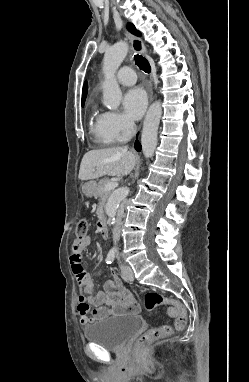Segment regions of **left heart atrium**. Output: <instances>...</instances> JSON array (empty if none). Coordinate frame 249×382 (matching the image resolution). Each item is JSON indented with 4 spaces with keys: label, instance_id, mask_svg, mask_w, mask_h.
I'll use <instances>...</instances> for the list:
<instances>
[{
    "label": "left heart atrium",
    "instance_id": "obj_1",
    "mask_svg": "<svg viewBox=\"0 0 249 382\" xmlns=\"http://www.w3.org/2000/svg\"><path fill=\"white\" fill-rule=\"evenodd\" d=\"M147 107V95L142 88L130 89L123 98V108L128 118L138 120Z\"/></svg>",
    "mask_w": 249,
    "mask_h": 382
}]
</instances>
